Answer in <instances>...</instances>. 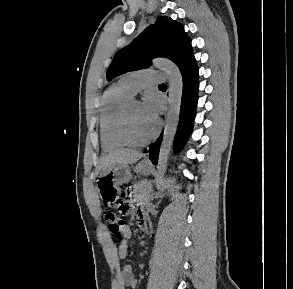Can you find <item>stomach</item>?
<instances>
[{
	"instance_id": "0dacf381",
	"label": "stomach",
	"mask_w": 293,
	"mask_h": 289,
	"mask_svg": "<svg viewBox=\"0 0 293 289\" xmlns=\"http://www.w3.org/2000/svg\"><path fill=\"white\" fill-rule=\"evenodd\" d=\"M137 173L146 175L151 170L150 164L140 162L134 169ZM131 179V168L128 165H114L97 180V191L100 199L111 206L121 194L120 186Z\"/></svg>"
}]
</instances>
